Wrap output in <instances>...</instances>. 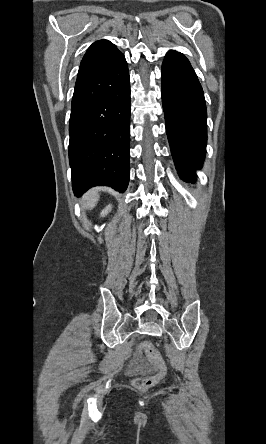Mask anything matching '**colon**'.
Listing matches in <instances>:
<instances>
[{"label": "colon", "mask_w": 266, "mask_h": 444, "mask_svg": "<svg viewBox=\"0 0 266 444\" xmlns=\"http://www.w3.org/2000/svg\"><path fill=\"white\" fill-rule=\"evenodd\" d=\"M140 351L156 367V372L153 375L139 377L133 381V384L137 389L147 390L162 379V377L165 375L166 367L160 352L152 342H143L140 346Z\"/></svg>", "instance_id": "1"}]
</instances>
